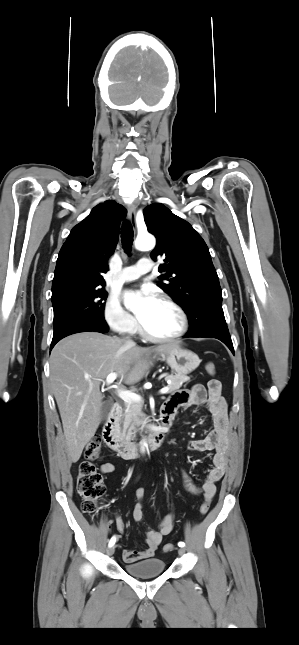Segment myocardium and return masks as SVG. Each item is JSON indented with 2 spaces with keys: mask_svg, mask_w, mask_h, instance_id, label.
Returning a JSON list of instances; mask_svg holds the SVG:
<instances>
[{
  "mask_svg": "<svg viewBox=\"0 0 299 645\" xmlns=\"http://www.w3.org/2000/svg\"><path fill=\"white\" fill-rule=\"evenodd\" d=\"M158 300L163 302V303H165V304H167V305H169L170 307H172L176 311V313L179 316V320H180V326H179L178 330L172 335L155 336V335L149 333L145 329V327L142 325V323L139 321V332H140V334L145 339H147V340H149L151 342H157V343L171 342V341H175V340L180 339L181 337H183L186 334V332L188 331V327H189V320H188V316H187L185 310L181 307V305H179L175 300H173L171 297H169L167 295L159 296Z\"/></svg>",
  "mask_w": 299,
  "mask_h": 645,
  "instance_id": "1",
  "label": "myocardium"
}]
</instances>
